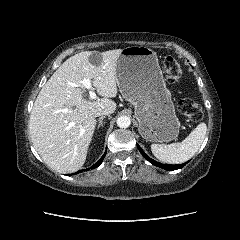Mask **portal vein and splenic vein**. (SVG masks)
I'll return each instance as SVG.
<instances>
[{
	"mask_svg": "<svg viewBox=\"0 0 240 240\" xmlns=\"http://www.w3.org/2000/svg\"><path fill=\"white\" fill-rule=\"evenodd\" d=\"M79 86L82 87V88H85L89 91L90 99H95L96 98V93L94 92V88H93V85H92V82H91L90 79H83L80 82Z\"/></svg>",
	"mask_w": 240,
	"mask_h": 240,
	"instance_id": "obj_1",
	"label": "portal vein and splenic vein"
}]
</instances>
